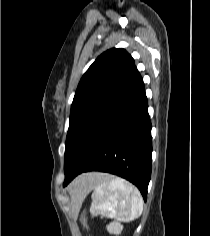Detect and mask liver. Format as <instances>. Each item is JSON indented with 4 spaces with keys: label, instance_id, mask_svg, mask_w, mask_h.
<instances>
[{
    "label": "liver",
    "instance_id": "liver-1",
    "mask_svg": "<svg viewBox=\"0 0 210 236\" xmlns=\"http://www.w3.org/2000/svg\"><path fill=\"white\" fill-rule=\"evenodd\" d=\"M102 176L103 174H99V173H86V174L80 175L73 181L71 185V188L73 189V193L77 197L83 198L84 195L87 193V191L85 190V186L93 181H96Z\"/></svg>",
    "mask_w": 210,
    "mask_h": 236
}]
</instances>
